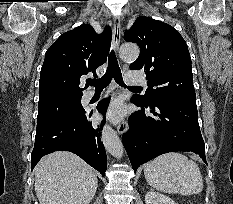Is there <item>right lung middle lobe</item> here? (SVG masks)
I'll list each match as a JSON object with an SVG mask.
<instances>
[{"mask_svg": "<svg viewBox=\"0 0 233 204\" xmlns=\"http://www.w3.org/2000/svg\"><path fill=\"white\" fill-rule=\"evenodd\" d=\"M81 97H58L39 102L36 130L43 129L62 118L71 117L83 110Z\"/></svg>", "mask_w": 233, "mask_h": 204, "instance_id": "obj_1", "label": "right lung middle lobe"}]
</instances>
